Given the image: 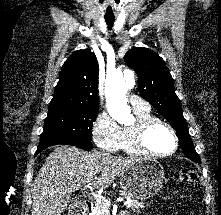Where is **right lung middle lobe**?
<instances>
[{
    "mask_svg": "<svg viewBox=\"0 0 221 215\" xmlns=\"http://www.w3.org/2000/svg\"><path fill=\"white\" fill-rule=\"evenodd\" d=\"M98 110H62L48 113L40 144L90 138Z\"/></svg>",
    "mask_w": 221,
    "mask_h": 215,
    "instance_id": "right-lung-middle-lobe-1",
    "label": "right lung middle lobe"
}]
</instances>
